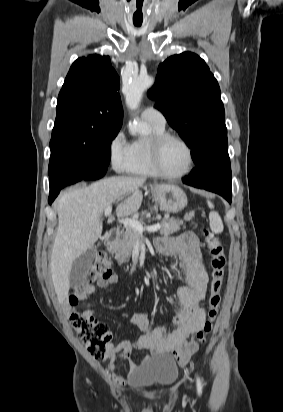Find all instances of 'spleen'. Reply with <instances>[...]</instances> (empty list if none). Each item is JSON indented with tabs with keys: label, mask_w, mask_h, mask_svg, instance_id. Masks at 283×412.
<instances>
[{
	"label": "spleen",
	"mask_w": 283,
	"mask_h": 412,
	"mask_svg": "<svg viewBox=\"0 0 283 412\" xmlns=\"http://www.w3.org/2000/svg\"><path fill=\"white\" fill-rule=\"evenodd\" d=\"M207 203L211 209L214 208V205L210 201H207ZM209 219H210V228L212 232L222 233L224 226H223V222L221 220L220 215L217 212H211L209 214Z\"/></svg>",
	"instance_id": "spleen-1"
}]
</instances>
